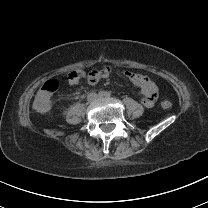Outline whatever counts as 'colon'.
Returning <instances> with one entry per match:
<instances>
[{"label": "colon", "mask_w": 208, "mask_h": 208, "mask_svg": "<svg viewBox=\"0 0 208 208\" xmlns=\"http://www.w3.org/2000/svg\"><path fill=\"white\" fill-rule=\"evenodd\" d=\"M85 71L84 70H77V71H68L66 76V82L69 84L77 83L78 78L84 77ZM88 77V75H87ZM59 81L56 79H50L49 82H45L44 86H42L37 91V98L34 100V107L36 111L40 114H45L50 109L49 100L53 93L58 90ZM161 107L164 109H169L172 106V102L170 99L165 98L161 101Z\"/></svg>", "instance_id": "5ec220e1"}]
</instances>
